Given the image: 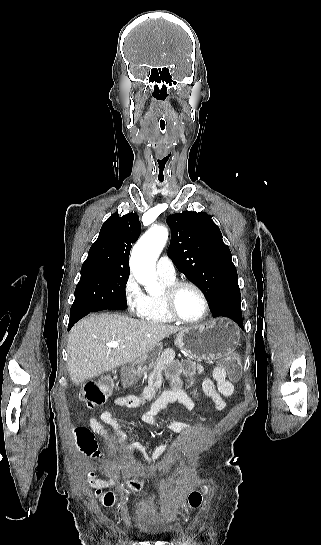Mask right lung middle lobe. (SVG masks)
Segmentation results:
<instances>
[{
  "label": "right lung middle lobe",
  "mask_w": 321,
  "mask_h": 545,
  "mask_svg": "<svg viewBox=\"0 0 321 545\" xmlns=\"http://www.w3.org/2000/svg\"><path fill=\"white\" fill-rule=\"evenodd\" d=\"M129 271H110L101 268L81 269V278L75 289V300L70 316L83 311L111 309L126 301L125 286Z\"/></svg>",
  "instance_id": "dd1d6c3e"
}]
</instances>
